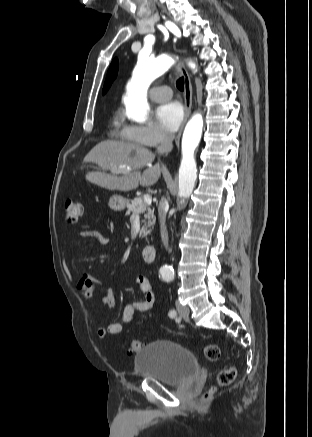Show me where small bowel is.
I'll list each match as a JSON object with an SVG mask.
<instances>
[{"instance_id":"obj_1","label":"small bowel","mask_w":312,"mask_h":437,"mask_svg":"<svg viewBox=\"0 0 312 437\" xmlns=\"http://www.w3.org/2000/svg\"><path fill=\"white\" fill-rule=\"evenodd\" d=\"M80 237H98L99 234L96 231H84L78 233ZM105 240V239H104ZM106 241V240H105ZM136 284L143 294L142 300H135L128 303L123 310L122 320L124 323H131L135 319V313L146 312L153 308L156 295L153 291L150 280L144 276L139 275L136 278ZM96 286H102L101 282L95 278L92 274H84L77 285V291L80 296L85 300H90L93 296V291ZM102 304L107 307L109 311L113 310L116 306V300L113 293L106 289V294L102 298ZM122 331V325L118 322H110L106 326H99L97 329V335L100 339H104L107 335L119 334Z\"/></svg>"}]
</instances>
